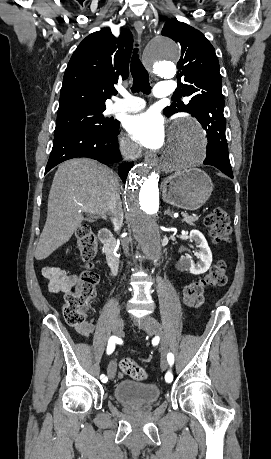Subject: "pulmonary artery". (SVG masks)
Returning a JSON list of instances; mask_svg holds the SVG:
<instances>
[{"mask_svg": "<svg viewBox=\"0 0 271 459\" xmlns=\"http://www.w3.org/2000/svg\"><path fill=\"white\" fill-rule=\"evenodd\" d=\"M173 84L166 81H158L154 95L156 98H169L173 91ZM122 98L114 100L106 109L107 114H129L136 113L144 109L145 103L139 97L133 96L126 90L119 91Z\"/></svg>", "mask_w": 271, "mask_h": 459, "instance_id": "e3ab8cb5", "label": "pulmonary artery"}]
</instances>
